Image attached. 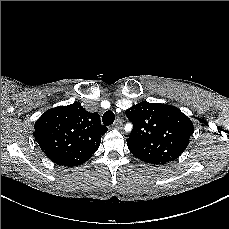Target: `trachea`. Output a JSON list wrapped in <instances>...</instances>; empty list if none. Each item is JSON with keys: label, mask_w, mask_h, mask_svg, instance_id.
<instances>
[{"label": "trachea", "mask_w": 229, "mask_h": 229, "mask_svg": "<svg viewBox=\"0 0 229 229\" xmlns=\"http://www.w3.org/2000/svg\"><path fill=\"white\" fill-rule=\"evenodd\" d=\"M115 120V115L111 110L106 111L102 116V122L105 126H110Z\"/></svg>", "instance_id": "trachea-1"}]
</instances>
